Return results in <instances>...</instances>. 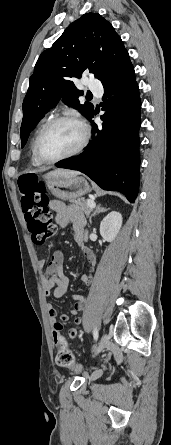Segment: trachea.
I'll use <instances>...</instances> for the list:
<instances>
[{
  "instance_id": "1",
  "label": "trachea",
  "mask_w": 171,
  "mask_h": 445,
  "mask_svg": "<svg viewBox=\"0 0 171 445\" xmlns=\"http://www.w3.org/2000/svg\"><path fill=\"white\" fill-rule=\"evenodd\" d=\"M87 97H92V94H88Z\"/></svg>"
}]
</instances>
